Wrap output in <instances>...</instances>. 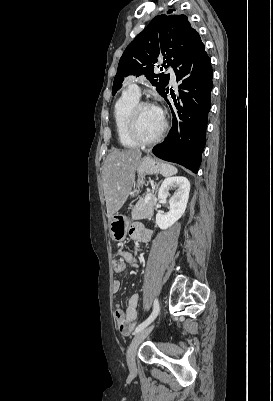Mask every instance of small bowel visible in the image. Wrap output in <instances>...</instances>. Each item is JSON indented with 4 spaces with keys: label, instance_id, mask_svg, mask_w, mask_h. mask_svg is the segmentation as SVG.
I'll list each match as a JSON object with an SVG mask.
<instances>
[{
    "label": "small bowel",
    "instance_id": "small-bowel-1",
    "mask_svg": "<svg viewBox=\"0 0 273 401\" xmlns=\"http://www.w3.org/2000/svg\"><path fill=\"white\" fill-rule=\"evenodd\" d=\"M151 231L148 228H141L135 226L129 229V236L135 239H144L150 236ZM126 265L132 267H137L138 261L134 254L118 248L115 252L113 259V269L115 273H123L126 269ZM122 284L120 280H114L112 284V290L117 293L121 290ZM140 302V296L138 293H132L127 302L125 310H123L119 305H116L114 311V318L116 323V328L121 334H129L135 327V323L138 317V307Z\"/></svg>",
    "mask_w": 273,
    "mask_h": 401
}]
</instances>
